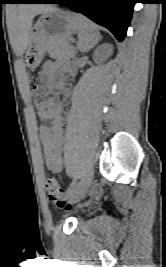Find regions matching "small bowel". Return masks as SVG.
<instances>
[{
    "instance_id": "1",
    "label": "small bowel",
    "mask_w": 166,
    "mask_h": 267,
    "mask_svg": "<svg viewBox=\"0 0 166 267\" xmlns=\"http://www.w3.org/2000/svg\"><path fill=\"white\" fill-rule=\"evenodd\" d=\"M61 70L73 73L69 66L59 65L52 60H48L43 64L42 70L39 73V80L49 87L64 89V78ZM61 112V105L55 104L37 113L38 119L41 122L39 133L44 162L47 169L55 173L60 172L62 169L61 147L64 123ZM47 122L51 124L48 125Z\"/></svg>"
}]
</instances>
